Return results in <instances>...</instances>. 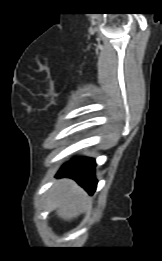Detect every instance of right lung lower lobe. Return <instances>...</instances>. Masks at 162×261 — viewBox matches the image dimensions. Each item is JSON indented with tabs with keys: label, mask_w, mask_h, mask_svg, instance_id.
<instances>
[{
	"label": "right lung lower lobe",
	"mask_w": 162,
	"mask_h": 261,
	"mask_svg": "<svg viewBox=\"0 0 162 261\" xmlns=\"http://www.w3.org/2000/svg\"><path fill=\"white\" fill-rule=\"evenodd\" d=\"M95 160L92 158H75L64 164L57 177H68L77 181L89 194L96 190Z\"/></svg>",
	"instance_id": "obj_1"
}]
</instances>
